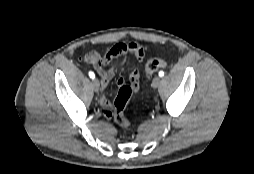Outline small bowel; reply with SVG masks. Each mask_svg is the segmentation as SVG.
Here are the masks:
<instances>
[{
	"label": "small bowel",
	"instance_id": "1",
	"mask_svg": "<svg viewBox=\"0 0 254 174\" xmlns=\"http://www.w3.org/2000/svg\"><path fill=\"white\" fill-rule=\"evenodd\" d=\"M128 52L131 53L139 61H142L144 59L143 49L136 44H119L114 46L104 56H100L98 53L91 52L84 57V61L88 64L93 65L101 76V85L103 88V92L100 97V103L102 114L105 118H110L112 116L111 102L109 101L105 93V89L109 81L113 78L117 68L121 65V62H117L109 68H106V65L110 63L115 57L119 55H125ZM124 83L125 81L122 78H119L117 80V84L119 86H122ZM129 83L134 86L135 90L138 89L140 83V71L138 69H133L129 74Z\"/></svg>",
	"mask_w": 254,
	"mask_h": 174
}]
</instances>
